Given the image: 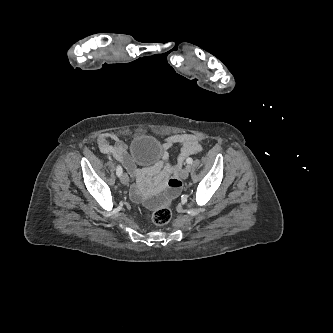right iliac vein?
Listing matches in <instances>:
<instances>
[{
	"label": "right iliac vein",
	"instance_id": "right-iliac-vein-1",
	"mask_svg": "<svg viewBox=\"0 0 333 333\" xmlns=\"http://www.w3.org/2000/svg\"><path fill=\"white\" fill-rule=\"evenodd\" d=\"M120 181L122 184H127L129 182V177L126 173H123L120 177Z\"/></svg>",
	"mask_w": 333,
	"mask_h": 333
}]
</instances>
